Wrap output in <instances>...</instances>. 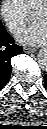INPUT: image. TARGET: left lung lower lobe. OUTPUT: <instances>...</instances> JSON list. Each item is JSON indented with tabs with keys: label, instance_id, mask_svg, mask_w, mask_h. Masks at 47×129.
I'll list each match as a JSON object with an SVG mask.
<instances>
[{
	"label": "left lung lower lobe",
	"instance_id": "left-lung-lower-lobe-1",
	"mask_svg": "<svg viewBox=\"0 0 47 129\" xmlns=\"http://www.w3.org/2000/svg\"><path fill=\"white\" fill-rule=\"evenodd\" d=\"M44 79H45V85L47 87V74L44 76Z\"/></svg>",
	"mask_w": 47,
	"mask_h": 129
}]
</instances>
